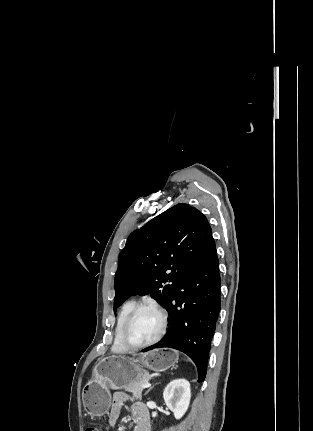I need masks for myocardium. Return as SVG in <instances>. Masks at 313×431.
Segmentation results:
<instances>
[{"instance_id": "f54148a6", "label": "myocardium", "mask_w": 313, "mask_h": 431, "mask_svg": "<svg viewBox=\"0 0 313 431\" xmlns=\"http://www.w3.org/2000/svg\"><path fill=\"white\" fill-rule=\"evenodd\" d=\"M146 308L153 309L159 314L160 320H161L160 329H159L158 333L156 334V336L153 339H151L150 341L142 343V344H134L129 340L128 332H129L131 325H132L135 317L137 316V314L141 310L146 309ZM166 327H167V313L160 305H158L157 303H154V302L139 303L131 310V312L129 313L128 317L126 318V320L124 322L122 332H121L122 344L128 350H139V349L149 347V346L155 344L156 342H158L162 338V336L164 335V333L166 331Z\"/></svg>"}]
</instances>
